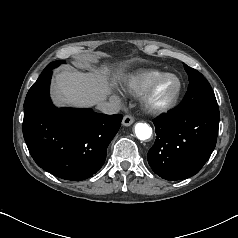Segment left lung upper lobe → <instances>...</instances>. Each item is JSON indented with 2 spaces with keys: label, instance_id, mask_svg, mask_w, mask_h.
<instances>
[{
  "label": "left lung upper lobe",
  "instance_id": "left-lung-upper-lobe-1",
  "mask_svg": "<svg viewBox=\"0 0 238 238\" xmlns=\"http://www.w3.org/2000/svg\"><path fill=\"white\" fill-rule=\"evenodd\" d=\"M184 68L189 76V86L177 110L181 113H188L203 106L217 105L214 92L206 78L186 64Z\"/></svg>",
  "mask_w": 238,
  "mask_h": 238
}]
</instances>
